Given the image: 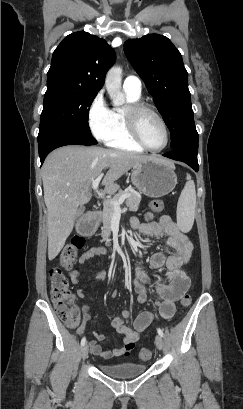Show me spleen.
<instances>
[{"mask_svg":"<svg viewBox=\"0 0 243 409\" xmlns=\"http://www.w3.org/2000/svg\"><path fill=\"white\" fill-rule=\"evenodd\" d=\"M187 182L180 194L177 204V224L181 231L189 232L193 226L196 208L195 183L187 174Z\"/></svg>","mask_w":243,"mask_h":409,"instance_id":"spleen-1","label":"spleen"}]
</instances>
